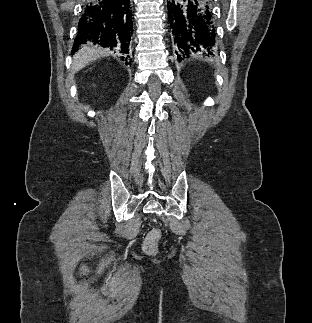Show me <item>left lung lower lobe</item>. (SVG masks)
<instances>
[{"instance_id": "obj_1", "label": "left lung lower lobe", "mask_w": 312, "mask_h": 323, "mask_svg": "<svg viewBox=\"0 0 312 323\" xmlns=\"http://www.w3.org/2000/svg\"><path fill=\"white\" fill-rule=\"evenodd\" d=\"M170 40L179 61L191 56H215L216 23L211 0L167 2Z\"/></svg>"}]
</instances>
